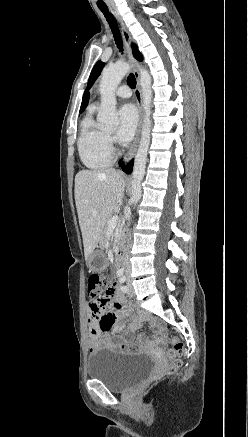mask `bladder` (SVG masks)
<instances>
[{"label":"bladder","mask_w":248,"mask_h":437,"mask_svg":"<svg viewBox=\"0 0 248 437\" xmlns=\"http://www.w3.org/2000/svg\"><path fill=\"white\" fill-rule=\"evenodd\" d=\"M156 363L149 357L137 353H119L103 349L91 356L87 374L115 391L148 379L154 374Z\"/></svg>","instance_id":"bladder-1"}]
</instances>
